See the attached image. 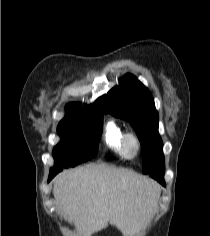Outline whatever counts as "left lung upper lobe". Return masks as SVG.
Listing matches in <instances>:
<instances>
[{"instance_id":"5c2ea615","label":"left lung upper lobe","mask_w":210,"mask_h":236,"mask_svg":"<svg viewBox=\"0 0 210 236\" xmlns=\"http://www.w3.org/2000/svg\"><path fill=\"white\" fill-rule=\"evenodd\" d=\"M105 112L128 121L141 142L143 173L164 164L163 144L158 133V112L149 90L136 77L126 74L119 86L103 97Z\"/></svg>"}]
</instances>
